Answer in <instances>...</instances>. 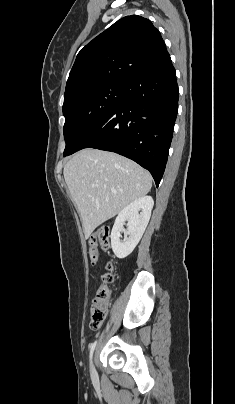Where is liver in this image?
I'll return each mask as SVG.
<instances>
[{
	"label": "liver",
	"instance_id": "6515ba94",
	"mask_svg": "<svg viewBox=\"0 0 235 404\" xmlns=\"http://www.w3.org/2000/svg\"><path fill=\"white\" fill-rule=\"evenodd\" d=\"M63 174L86 238L152 187L150 173L134 161L92 148L70 158Z\"/></svg>",
	"mask_w": 235,
	"mask_h": 404
}]
</instances>
